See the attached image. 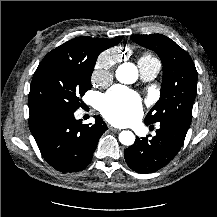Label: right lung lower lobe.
<instances>
[{
	"instance_id": "right-lung-lower-lobe-1",
	"label": "right lung lower lobe",
	"mask_w": 217,
	"mask_h": 217,
	"mask_svg": "<svg viewBox=\"0 0 217 217\" xmlns=\"http://www.w3.org/2000/svg\"><path fill=\"white\" fill-rule=\"evenodd\" d=\"M30 130L43 158L58 171L78 172L91 161L107 125L95 116L93 125L82 124L74 112L51 111L29 117Z\"/></svg>"
}]
</instances>
